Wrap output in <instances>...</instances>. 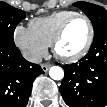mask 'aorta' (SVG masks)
Segmentation results:
<instances>
[{"instance_id": "aorta-1", "label": "aorta", "mask_w": 107, "mask_h": 107, "mask_svg": "<svg viewBox=\"0 0 107 107\" xmlns=\"http://www.w3.org/2000/svg\"><path fill=\"white\" fill-rule=\"evenodd\" d=\"M49 75L54 80H61L64 77V71L59 66H52L49 70Z\"/></svg>"}]
</instances>
